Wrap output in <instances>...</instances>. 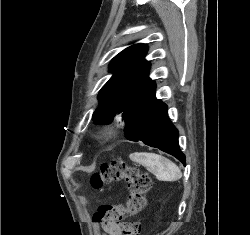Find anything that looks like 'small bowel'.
<instances>
[{
  "instance_id": "small-bowel-1",
  "label": "small bowel",
  "mask_w": 250,
  "mask_h": 235,
  "mask_svg": "<svg viewBox=\"0 0 250 235\" xmlns=\"http://www.w3.org/2000/svg\"><path fill=\"white\" fill-rule=\"evenodd\" d=\"M102 235H123L118 225H102Z\"/></svg>"
}]
</instances>
